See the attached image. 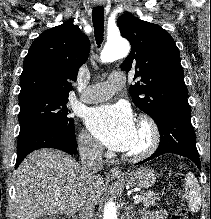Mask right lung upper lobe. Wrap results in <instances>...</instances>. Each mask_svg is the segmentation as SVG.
<instances>
[{
    "label": "right lung upper lobe",
    "mask_w": 211,
    "mask_h": 219,
    "mask_svg": "<svg viewBox=\"0 0 211 219\" xmlns=\"http://www.w3.org/2000/svg\"><path fill=\"white\" fill-rule=\"evenodd\" d=\"M90 41L68 21L44 31L32 43L20 76L19 101L35 97H68L81 65L86 62Z\"/></svg>",
    "instance_id": "cb5924a9"
}]
</instances>
